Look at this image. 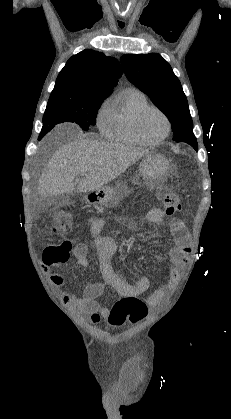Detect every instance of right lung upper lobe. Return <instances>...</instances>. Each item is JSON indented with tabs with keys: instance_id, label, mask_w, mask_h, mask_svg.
Masks as SVG:
<instances>
[{
	"instance_id": "cb5924a9",
	"label": "right lung upper lobe",
	"mask_w": 231,
	"mask_h": 419,
	"mask_svg": "<svg viewBox=\"0 0 231 419\" xmlns=\"http://www.w3.org/2000/svg\"><path fill=\"white\" fill-rule=\"evenodd\" d=\"M121 75L117 59L86 49L69 58L52 92H67L79 98H106Z\"/></svg>"
}]
</instances>
